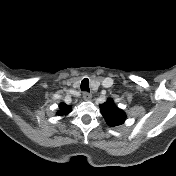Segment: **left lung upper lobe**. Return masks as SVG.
<instances>
[{"label": "left lung upper lobe", "mask_w": 176, "mask_h": 176, "mask_svg": "<svg viewBox=\"0 0 176 176\" xmlns=\"http://www.w3.org/2000/svg\"><path fill=\"white\" fill-rule=\"evenodd\" d=\"M100 109L105 120L112 127L123 124L126 119L123 110L117 108L111 99L100 105Z\"/></svg>", "instance_id": "1"}]
</instances>
